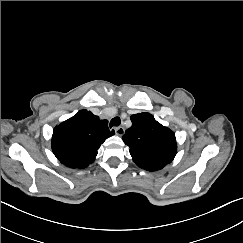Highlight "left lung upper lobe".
<instances>
[{
	"mask_svg": "<svg viewBox=\"0 0 243 243\" xmlns=\"http://www.w3.org/2000/svg\"><path fill=\"white\" fill-rule=\"evenodd\" d=\"M132 126L123 135L133 161L149 171H156L171 163L177 152L175 134L161 125L150 113L131 116Z\"/></svg>",
	"mask_w": 243,
	"mask_h": 243,
	"instance_id": "left-lung-upper-lobe-1",
	"label": "left lung upper lobe"
}]
</instances>
